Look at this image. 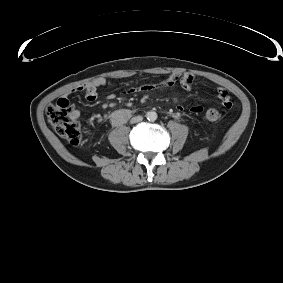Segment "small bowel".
Here are the masks:
<instances>
[{"label":"small bowel","instance_id":"obj_1","mask_svg":"<svg viewBox=\"0 0 283 283\" xmlns=\"http://www.w3.org/2000/svg\"><path fill=\"white\" fill-rule=\"evenodd\" d=\"M195 77L191 73H172L167 78L163 79L158 83L145 84L138 87H133L128 90V93H151L156 90H164L174 87L179 84L184 90L190 91L194 85ZM106 80L103 77H96L93 80L80 85L74 89H72V93H84L87 101L93 102L98 98V90L102 86H104ZM216 94L221 101L222 106L225 109H229L231 107V99L228 92L224 88H217ZM184 111V107L182 105H177L176 113L180 114ZM191 113L200 114L203 111V107L201 105H194L190 108ZM74 117H80V111L75 109Z\"/></svg>","mask_w":283,"mask_h":283}]
</instances>
